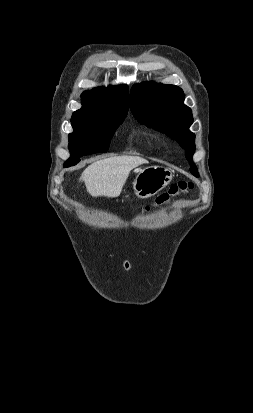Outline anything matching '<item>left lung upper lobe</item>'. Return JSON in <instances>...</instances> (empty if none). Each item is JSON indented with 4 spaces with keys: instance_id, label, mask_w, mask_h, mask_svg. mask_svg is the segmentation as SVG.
I'll return each mask as SVG.
<instances>
[{
    "instance_id": "5c2ea615",
    "label": "left lung upper lobe",
    "mask_w": 253,
    "mask_h": 413,
    "mask_svg": "<svg viewBox=\"0 0 253 413\" xmlns=\"http://www.w3.org/2000/svg\"><path fill=\"white\" fill-rule=\"evenodd\" d=\"M181 88L154 82L136 84L131 89L130 107L140 123L166 133L185 149L191 173L198 177L192 162L195 135L189 130L193 123L192 111L184 105Z\"/></svg>"
}]
</instances>
